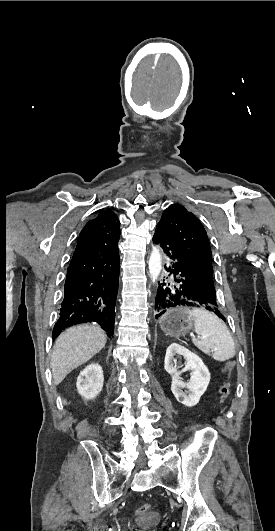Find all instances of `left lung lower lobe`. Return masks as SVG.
I'll use <instances>...</instances> for the list:
<instances>
[{
    "label": "left lung lower lobe",
    "instance_id": "0a47b994",
    "mask_svg": "<svg viewBox=\"0 0 275 531\" xmlns=\"http://www.w3.org/2000/svg\"><path fill=\"white\" fill-rule=\"evenodd\" d=\"M153 242L160 244L164 253L171 260L170 266H165V269L170 273L169 276L173 275V282L166 280L158 282L159 286L154 304L155 318L160 317L169 308L190 306L205 308L226 322L225 317L217 308V303L197 291L188 276L178 249L163 227L158 224L153 236Z\"/></svg>",
    "mask_w": 275,
    "mask_h": 531
}]
</instances>
